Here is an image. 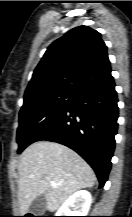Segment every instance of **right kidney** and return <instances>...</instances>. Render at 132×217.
I'll return each mask as SVG.
<instances>
[{"label":"right kidney","instance_id":"ca27d5eb","mask_svg":"<svg viewBox=\"0 0 132 217\" xmlns=\"http://www.w3.org/2000/svg\"><path fill=\"white\" fill-rule=\"evenodd\" d=\"M91 203V194L87 190H79L66 200L55 215L87 216Z\"/></svg>","mask_w":132,"mask_h":217}]
</instances>
